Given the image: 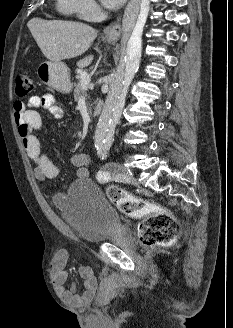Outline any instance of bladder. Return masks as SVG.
<instances>
[{
    "instance_id": "31cf9c89",
    "label": "bladder",
    "mask_w": 233,
    "mask_h": 328,
    "mask_svg": "<svg viewBox=\"0 0 233 328\" xmlns=\"http://www.w3.org/2000/svg\"><path fill=\"white\" fill-rule=\"evenodd\" d=\"M53 204L64 221L87 242L129 236L114 206L90 180L73 182L64 193L53 197Z\"/></svg>"
}]
</instances>
